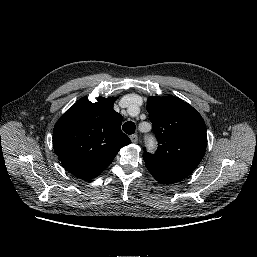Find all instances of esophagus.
<instances>
[{
  "instance_id": "34e87169",
  "label": "esophagus",
  "mask_w": 257,
  "mask_h": 257,
  "mask_svg": "<svg viewBox=\"0 0 257 257\" xmlns=\"http://www.w3.org/2000/svg\"><path fill=\"white\" fill-rule=\"evenodd\" d=\"M130 139L133 143H137L138 142V135L133 134V135L130 136Z\"/></svg>"
}]
</instances>
